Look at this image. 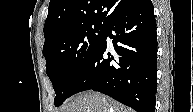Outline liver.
Masks as SVG:
<instances>
[{"label": "liver", "instance_id": "6515ba94", "mask_svg": "<svg viewBox=\"0 0 193 112\" xmlns=\"http://www.w3.org/2000/svg\"><path fill=\"white\" fill-rule=\"evenodd\" d=\"M59 112H132V110L100 93L87 91L70 98Z\"/></svg>", "mask_w": 193, "mask_h": 112}]
</instances>
